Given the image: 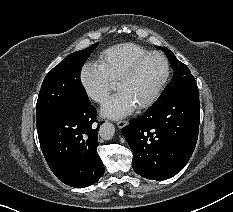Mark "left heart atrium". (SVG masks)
<instances>
[{"mask_svg":"<svg viewBox=\"0 0 233 212\" xmlns=\"http://www.w3.org/2000/svg\"><path fill=\"white\" fill-rule=\"evenodd\" d=\"M135 107L131 99L119 91L102 106L101 113L105 117L121 118L132 113Z\"/></svg>","mask_w":233,"mask_h":212,"instance_id":"obj_1","label":"left heart atrium"}]
</instances>
